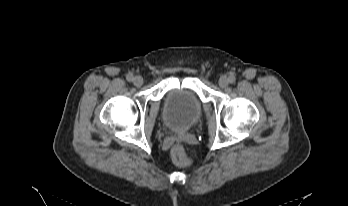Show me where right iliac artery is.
I'll return each mask as SVG.
<instances>
[{"instance_id": "82829eb1", "label": "right iliac artery", "mask_w": 348, "mask_h": 206, "mask_svg": "<svg viewBox=\"0 0 348 206\" xmlns=\"http://www.w3.org/2000/svg\"><path fill=\"white\" fill-rule=\"evenodd\" d=\"M126 79H127V81L131 82V81H133L134 77L132 74H128Z\"/></svg>"}]
</instances>
